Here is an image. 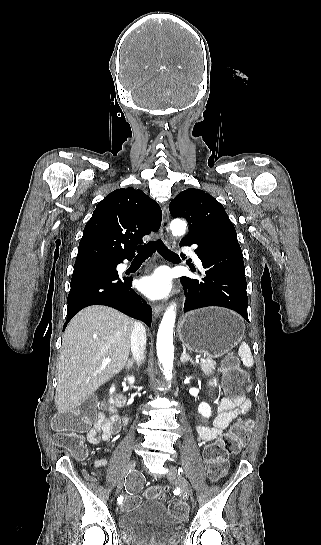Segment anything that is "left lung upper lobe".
<instances>
[{"label": "left lung upper lobe", "instance_id": "left-lung-upper-lobe-1", "mask_svg": "<svg viewBox=\"0 0 321 545\" xmlns=\"http://www.w3.org/2000/svg\"><path fill=\"white\" fill-rule=\"evenodd\" d=\"M171 215L185 218L189 233L181 240L200 238L215 233H236L224 207L210 194L199 189H187L170 203Z\"/></svg>", "mask_w": 321, "mask_h": 545}]
</instances>
